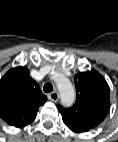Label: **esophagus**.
Masks as SVG:
<instances>
[{
    "label": "esophagus",
    "mask_w": 118,
    "mask_h": 142,
    "mask_svg": "<svg viewBox=\"0 0 118 142\" xmlns=\"http://www.w3.org/2000/svg\"><path fill=\"white\" fill-rule=\"evenodd\" d=\"M48 98L53 102H57L59 100V94H58V92L54 91V92L48 94Z\"/></svg>",
    "instance_id": "esophagus-1"
}]
</instances>
